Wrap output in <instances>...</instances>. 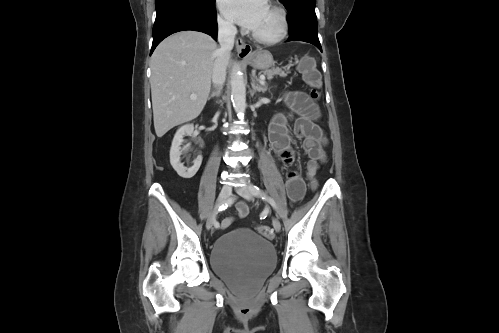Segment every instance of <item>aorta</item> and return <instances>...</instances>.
Here are the masks:
<instances>
[{
	"label": "aorta",
	"mask_w": 499,
	"mask_h": 333,
	"mask_svg": "<svg viewBox=\"0 0 499 333\" xmlns=\"http://www.w3.org/2000/svg\"><path fill=\"white\" fill-rule=\"evenodd\" d=\"M231 100L238 117L243 118L246 111V87L243 73L238 65L232 71Z\"/></svg>",
	"instance_id": "obj_1"
}]
</instances>
